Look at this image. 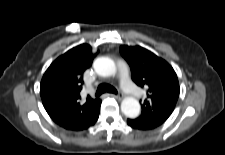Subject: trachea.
<instances>
[{
  "instance_id": "3493384b",
  "label": "trachea",
  "mask_w": 225,
  "mask_h": 155,
  "mask_svg": "<svg viewBox=\"0 0 225 155\" xmlns=\"http://www.w3.org/2000/svg\"><path fill=\"white\" fill-rule=\"evenodd\" d=\"M105 92L117 94V90L113 86L108 84H100L97 88L96 96H100L101 94Z\"/></svg>"
}]
</instances>
